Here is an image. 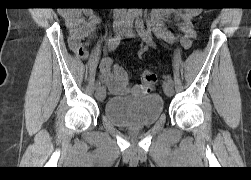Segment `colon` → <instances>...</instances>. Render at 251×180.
<instances>
[{
    "mask_svg": "<svg viewBox=\"0 0 251 180\" xmlns=\"http://www.w3.org/2000/svg\"><path fill=\"white\" fill-rule=\"evenodd\" d=\"M156 75L149 70L144 71L140 77V87L146 92H150L156 85Z\"/></svg>",
    "mask_w": 251,
    "mask_h": 180,
    "instance_id": "colon-1",
    "label": "colon"
}]
</instances>
